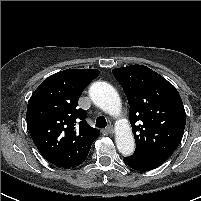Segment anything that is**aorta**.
Returning <instances> with one entry per match:
<instances>
[{
  "label": "aorta",
  "mask_w": 201,
  "mask_h": 201,
  "mask_svg": "<svg viewBox=\"0 0 201 201\" xmlns=\"http://www.w3.org/2000/svg\"><path fill=\"white\" fill-rule=\"evenodd\" d=\"M89 96L92 102L106 113L112 116L120 114V97L110 84L102 81L93 83L89 89ZM115 142L122 155L129 156L134 152V136L127 121H122L117 125Z\"/></svg>",
  "instance_id": "obj_1"
}]
</instances>
